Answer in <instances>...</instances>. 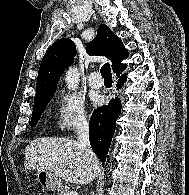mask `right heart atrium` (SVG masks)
Wrapping results in <instances>:
<instances>
[{"mask_svg":"<svg viewBox=\"0 0 189 195\" xmlns=\"http://www.w3.org/2000/svg\"><path fill=\"white\" fill-rule=\"evenodd\" d=\"M57 128L59 132H72L89 123L85 102L79 95L61 91L57 95Z\"/></svg>","mask_w":189,"mask_h":195,"instance_id":"right-heart-atrium-1","label":"right heart atrium"}]
</instances>
